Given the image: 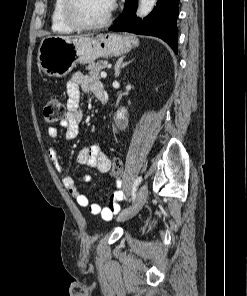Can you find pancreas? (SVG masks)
Instances as JSON below:
<instances>
[{
	"label": "pancreas",
	"mask_w": 247,
	"mask_h": 296,
	"mask_svg": "<svg viewBox=\"0 0 247 296\" xmlns=\"http://www.w3.org/2000/svg\"><path fill=\"white\" fill-rule=\"evenodd\" d=\"M107 67V61L100 60L96 63H92L89 66L86 67V69L89 71V75L95 79L100 78V72L104 70Z\"/></svg>",
	"instance_id": "pancreas-1"
}]
</instances>
